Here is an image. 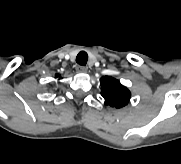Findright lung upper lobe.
<instances>
[{"mask_svg": "<svg viewBox=\"0 0 181 164\" xmlns=\"http://www.w3.org/2000/svg\"><path fill=\"white\" fill-rule=\"evenodd\" d=\"M57 77L61 78L59 74H56V78H57Z\"/></svg>", "mask_w": 181, "mask_h": 164, "instance_id": "obj_1", "label": "right lung upper lobe"}]
</instances>
